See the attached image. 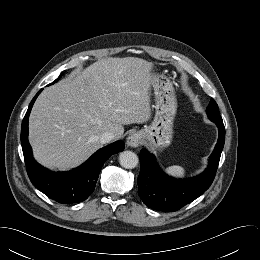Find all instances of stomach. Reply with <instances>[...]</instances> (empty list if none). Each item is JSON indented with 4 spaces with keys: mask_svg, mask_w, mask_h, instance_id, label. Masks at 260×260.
Masks as SVG:
<instances>
[{
    "mask_svg": "<svg viewBox=\"0 0 260 260\" xmlns=\"http://www.w3.org/2000/svg\"><path fill=\"white\" fill-rule=\"evenodd\" d=\"M155 95V116L150 126L138 133L152 151H162L173 138V122L177 111V99L172 81L163 74H152Z\"/></svg>",
    "mask_w": 260,
    "mask_h": 260,
    "instance_id": "1",
    "label": "stomach"
}]
</instances>
